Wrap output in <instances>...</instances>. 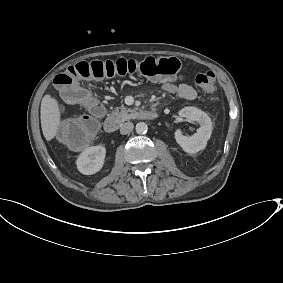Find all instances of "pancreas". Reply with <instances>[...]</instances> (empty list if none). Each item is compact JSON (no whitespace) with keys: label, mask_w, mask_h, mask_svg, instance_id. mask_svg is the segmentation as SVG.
Listing matches in <instances>:
<instances>
[{"label":"pancreas","mask_w":283,"mask_h":283,"mask_svg":"<svg viewBox=\"0 0 283 283\" xmlns=\"http://www.w3.org/2000/svg\"><path fill=\"white\" fill-rule=\"evenodd\" d=\"M115 109L113 115L121 123L128 121L129 119H134L136 117V112H138V108L132 109L124 106L116 107Z\"/></svg>","instance_id":"pancreas-1"}]
</instances>
